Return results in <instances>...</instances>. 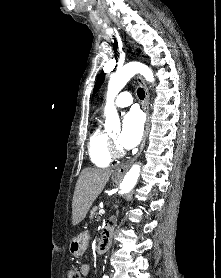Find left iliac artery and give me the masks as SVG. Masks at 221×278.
I'll return each instance as SVG.
<instances>
[{
    "instance_id": "obj_1",
    "label": "left iliac artery",
    "mask_w": 221,
    "mask_h": 278,
    "mask_svg": "<svg viewBox=\"0 0 221 278\" xmlns=\"http://www.w3.org/2000/svg\"><path fill=\"white\" fill-rule=\"evenodd\" d=\"M103 278H109L108 276H103Z\"/></svg>"
}]
</instances>
